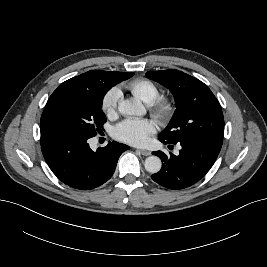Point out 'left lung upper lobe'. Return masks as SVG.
<instances>
[{"mask_svg":"<svg viewBox=\"0 0 267 267\" xmlns=\"http://www.w3.org/2000/svg\"><path fill=\"white\" fill-rule=\"evenodd\" d=\"M146 76L168 88L176 103L175 113L158 136L171 144L195 136H223L221 106L206 84L179 70L148 71Z\"/></svg>","mask_w":267,"mask_h":267,"instance_id":"5c2ea615","label":"left lung upper lobe"}]
</instances>
